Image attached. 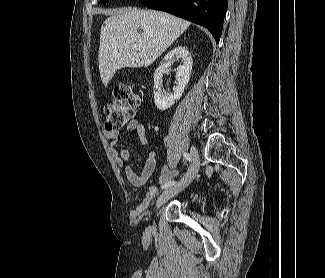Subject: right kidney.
Listing matches in <instances>:
<instances>
[{"mask_svg": "<svg viewBox=\"0 0 325 278\" xmlns=\"http://www.w3.org/2000/svg\"><path fill=\"white\" fill-rule=\"evenodd\" d=\"M176 57H181L183 62V64L177 68L176 72V80L178 83L173 89V93L166 94L161 90L160 81L162 80L164 70L171 67L172 61ZM192 64V57L184 46L179 45L165 55L162 63L154 73V102L159 110L164 111L170 108L175 101L181 98L190 79Z\"/></svg>", "mask_w": 325, "mask_h": 278, "instance_id": "obj_1", "label": "right kidney"}]
</instances>
